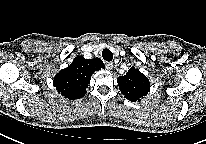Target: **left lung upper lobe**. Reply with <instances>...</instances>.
Wrapping results in <instances>:
<instances>
[{
	"mask_svg": "<svg viewBox=\"0 0 206 144\" xmlns=\"http://www.w3.org/2000/svg\"><path fill=\"white\" fill-rule=\"evenodd\" d=\"M117 82L121 92L132 102L140 101L150 88L149 80L134 67L126 75L118 77Z\"/></svg>",
	"mask_w": 206,
	"mask_h": 144,
	"instance_id": "5c2ea615",
	"label": "left lung upper lobe"
}]
</instances>
